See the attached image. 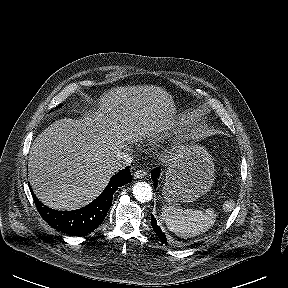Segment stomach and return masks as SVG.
Instances as JSON below:
<instances>
[{
  "mask_svg": "<svg viewBox=\"0 0 288 288\" xmlns=\"http://www.w3.org/2000/svg\"><path fill=\"white\" fill-rule=\"evenodd\" d=\"M214 179V162L208 151L199 145L182 147L165 172L162 195L168 202H193L211 189Z\"/></svg>",
  "mask_w": 288,
  "mask_h": 288,
  "instance_id": "stomach-1",
  "label": "stomach"
}]
</instances>
